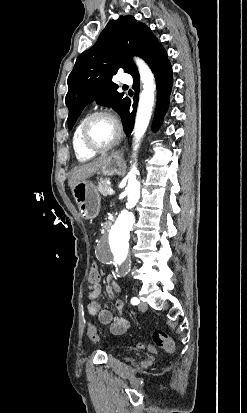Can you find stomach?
<instances>
[{
	"instance_id": "1",
	"label": "stomach",
	"mask_w": 247,
	"mask_h": 413,
	"mask_svg": "<svg viewBox=\"0 0 247 413\" xmlns=\"http://www.w3.org/2000/svg\"><path fill=\"white\" fill-rule=\"evenodd\" d=\"M123 156L117 152L107 156L105 162L100 166L101 174L112 176L120 174ZM73 196L78 204L81 217L84 219H95L100 211V194L91 180H81L72 188Z\"/></svg>"
}]
</instances>
